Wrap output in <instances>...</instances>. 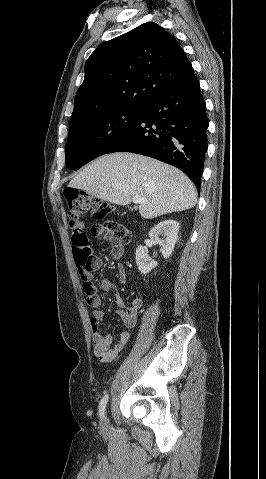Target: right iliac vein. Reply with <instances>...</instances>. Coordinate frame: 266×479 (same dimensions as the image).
Masks as SVG:
<instances>
[{
    "mask_svg": "<svg viewBox=\"0 0 266 479\" xmlns=\"http://www.w3.org/2000/svg\"><path fill=\"white\" fill-rule=\"evenodd\" d=\"M100 426L103 431L108 430V421L105 416L101 419Z\"/></svg>",
    "mask_w": 266,
    "mask_h": 479,
    "instance_id": "obj_1",
    "label": "right iliac vein"
}]
</instances>
